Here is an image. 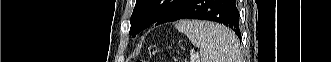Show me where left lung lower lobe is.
<instances>
[{"label":"left lung lower lobe","mask_w":331,"mask_h":62,"mask_svg":"<svg viewBox=\"0 0 331 62\" xmlns=\"http://www.w3.org/2000/svg\"><path fill=\"white\" fill-rule=\"evenodd\" d=\"M184 18L215 21L230 27L239 38L241 36L236 0H184L167 22ZM149 26L141 22L136 34Z\"/></svg>","instance_id":"0a47b994"}]
</instances>
